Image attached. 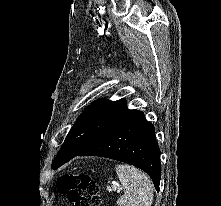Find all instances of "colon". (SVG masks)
Returning a JSON list of instances; mask_svg holds the SVG:
<instances>
[{
    "label": "colon",
    "mask_w": 221,
    "mask_h": 206,
    "mask_svg": "<svg viewBox=\"0 0 221 206\" xmlns=\"http://www.w3.org/2000/svg\"><path fill=\"white\" fill-rule=\"evenodd\" d=\"M57 189L72 206H100L101 195L96 181L85 173H69L61 176Z\"/></svg>",
    "instance_id": "colon-1"
}]
</instances>
